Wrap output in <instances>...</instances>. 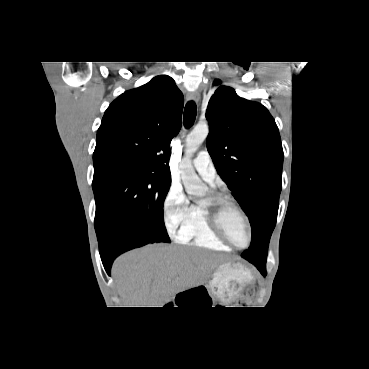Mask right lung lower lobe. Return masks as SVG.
I'll return each instance as SVG.
<instances>
[{
    "instance_id": "right-lung-lower-lobe-1",
    "label": "right lung lower lobe",
    "mask_w": 369,
    "mask_h": 369,
    "mask_svg": "<svg viewBox=\"0 0 369 369\" xmlns=\"http://www.w3.org/2000/svg\"><path fill=\"white\" fill-rule=\"evenodd\" d=\"M154 242L134 224L116 223L98 238L100 256L106 272L110 275L111 265L121 253Z\"/></svg>"
}]
</instances>
